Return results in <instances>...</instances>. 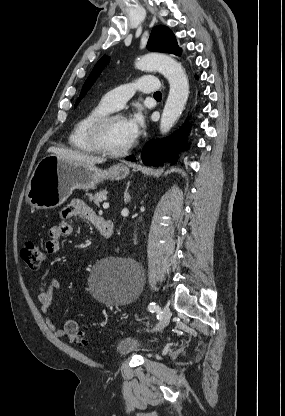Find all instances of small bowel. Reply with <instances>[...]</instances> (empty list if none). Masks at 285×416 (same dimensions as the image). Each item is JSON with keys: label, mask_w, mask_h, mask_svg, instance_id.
Returning <instances> with one entry per match:
<instances>
[{"label": "small bowel", "mask_w": 285, "mask_h": 416, "mask_svg": "<svg viewBox=\"0 0 285 416\" xmlns=\"http://www.w3.org/2000/svg\"><path fill=\"white\" fill-rule=\"evenodd\" d=\"M59 216L60 222L49 229V240L45 244L47 253L51 255L60 252V239L73 233V226L70 221L72 217H78L81 220L88 221L94 226L102 219L81 200H73L68 203L60 211ZM59 288L60 283L57 279L50 280L48 284L40 287L38 300L41 304V312L48 328L55 336L62 337L65 335L64 330L58 327L50 316V307L53 302V296Z\"/></svg>", "instance_id": "c3829d8e"}]
</instances>
